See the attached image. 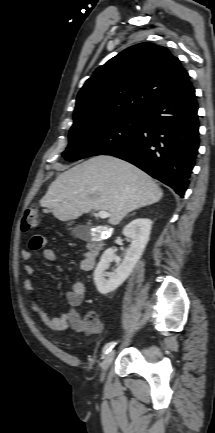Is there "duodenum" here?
Here are the masks:
<instances>
[{"instance_id":"duodenum-1","label":"duodenum","mask_w":215,"mask_h":433,"mask_svg":"<svg viewBox=\"0 0 215 433\" xmlns=\"http://www.w3.org/2000/svg\"><path fill=\"white\" fill-rule=\"evenodd\" d=\"M103 242H104L103 234H100L97 238L89 241L87 248H88V252L92 257L95 258L100 254L103 248Z\"/></svg>"}]
</instances>
